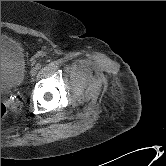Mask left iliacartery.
I'll return each instance as SVG.
<instances>
[{
  "mask_svg": "<svg viewBox=\"0 0 166 166\" xmlns=\"http://www.w3.org/2000/svg\"><path fill=\"white\" fill-rule=\"evenodd\" d=\"M35 67H36L37 69H40V68H41V64H40V63H37V64L35 65Z\"/></svg>",
  "mask_w": 166,
  "mask_h": 166,
  "instance_id": "obj_1",
  "label": "left iliac artery"
}]
</instances>
